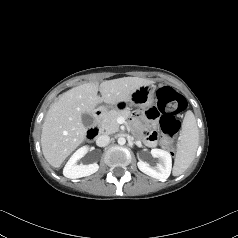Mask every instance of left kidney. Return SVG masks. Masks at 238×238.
Listing matches in <instances>:
<instances>
[{
	"mask_svg": "<svg viewBox=\"0 0 238 238\" xmlns=\"http://www.w3.org/2000/svg\"><path fill=\"white\" fill-rule=\"evenodd\" d=\"M151 155L158 158L159 163L155 167H151L148 163L139 161L137 163L139 170L160 181H165L170 176L172 169L171 154L165 150L152 149Z\"/></svg>",
	"mask_w": 238,
	"mask_h": 238,
	"instance_id": "left-kidney-1",
	"label": "left kidney"
}]
</instances>
